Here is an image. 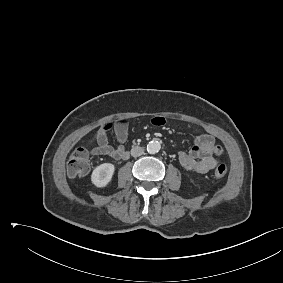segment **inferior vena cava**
<instances>
[{
  "instance_id": "1",
  "label": "inferior vena cava",
  "mask_w": 283,
  "mask_h": 283,
  "mask_svg": "<svg viewBox=\"0 0 283 283\" xmlns=\"http://www.w3.org/2000/svg\"><path fill=\"white\" fill-rule=\"evenodd\" d=\"M143 153H144V149L142 147L135 146L131 149V155L133 157L141 156Z\"/></svg>"
}]
</instances>
